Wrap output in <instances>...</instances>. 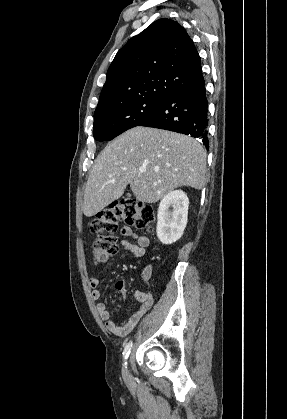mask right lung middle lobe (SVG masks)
Wrapping results in <instances>:
<instances>
[{"mask_svg": "<svg viewBox=\"0 0 287 419\" xmlns=\"http://www.w3.org/2000/svg\"><path fill=\"white\" fill-rule=\"evenodd\" d=\"M163 101V99H138L94 114V139L110 141L126 130L139 126L160 107Z\"/></svg>", "mask_w": 287, "mask_h": 419, "instance_id": "obj_1", "label": "right lung middle lobe"}]
</instances>
